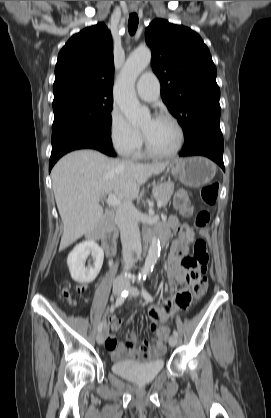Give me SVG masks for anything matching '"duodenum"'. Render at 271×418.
Listing matches in <instances>:
<instances>
[{
  "label": "duodenum",
  "instance_id": "410a0bca",
  "mask_svg": "<svg viewBox=\"0 0 271 418\" xmlns=\"http://www.w3.org/2000/svg\"><path fill=\"white\" fill-rule=\"evenodd\" d=\"M116 233H117V229H116L113 215L109 214L102 233L100 235L92 233L90 235V238L95 239L97 237H100L106 254L108 256H112L114 254L115 246H116ZM157 234L161 242H166L168 238V233L166 230H160ZM152 238H153V235L150 234L146 239L147 242H149Z\"/></svg>",
  "mask_w": 271,
  "mask_h": 418
}]
</instances>
